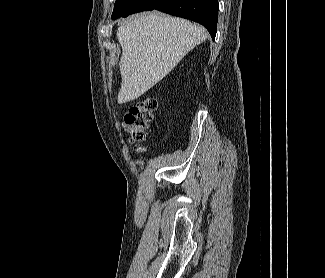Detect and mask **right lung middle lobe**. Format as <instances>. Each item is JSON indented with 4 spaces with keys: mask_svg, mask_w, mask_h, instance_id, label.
Wrapping results in <instances>:
<instances>
[{
    "mask_svg": "<svg viewBox=\"0 0 325 278\" xmlns=\"http://www.w3.org/2000/svg\"><path fill=\"white\" fill-rule=\"evenodd\" d=\"M135 6V0H116L111 18L117 19L130 14Z\"/></svg>",
    "mask_w": 325,
    "mask_h": 278,
    "instance_id": "obj_1",
    "label": "right lung middle lobe"
}]
</instances>
